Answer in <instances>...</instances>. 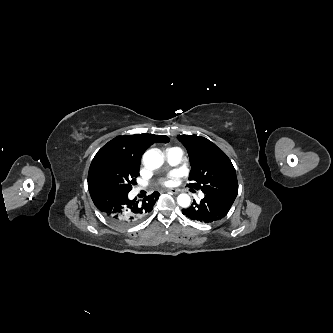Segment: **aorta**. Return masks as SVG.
<instances>
[{"mask_svg": "<svg viewBox=\"0 0 333 333\" xmlns=\"http://www.w3.org/2000/svg\"><path fill=\"white\" fill-rule=\"evenodd\" d=\"M143 163L152 169H157L163 164V157L156 149H150L143 155ZM179 206L187 208L190 205V197L188 194H180L177 198Z\"/></svg>", "mask_w": 333, "mask_h": 333, "instance_id": "aorta-1", "label": "aorta"}]
</instances>
